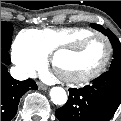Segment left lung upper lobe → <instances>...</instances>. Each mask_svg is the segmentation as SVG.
Returning <instances> with one entry per match:
<instances>
[{
    "instance_id": "5c2ea615",
    "label": "left lung upper lobe",
    "mask_w": 121,
    "mask_h": 121,
    "mask_svg": "<svg viewBox=\"0 0 121 121\" xmlns=\"http://www.w3.org/2000/svg\"><path fill=\"white\" fill-rule=\"evenodd\" d=\"M92 27L103 32L104 34H107L108 37L110 38V41L114 48V60L112 61L110 70L121 71V44L120 42L109 30L106 31L103 27L99 25H95V24H93Z\"/></svg>"
}]
</instances>
